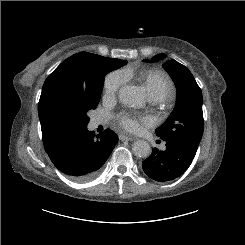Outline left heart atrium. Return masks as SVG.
Instances as JSON below:
<instances>
[{
  "instance_id": "obj_1",
  "label": "left heart atrium",
  "mask_w": 245,
  "mask_h": 245,
  "mask_svg": "<svg viewBox=\"0 0 245 245\" xmlns=\"http://www.w3.org/2000/svg\"><path fill=\"white\" fill-rule=\"evenodd\" d=\"M117 121L122 128L130 132L139 131L141 125L145 123L144 118L134 116L127 112L119 113L117 115Z\"/></svg>"
}]
</instances>
